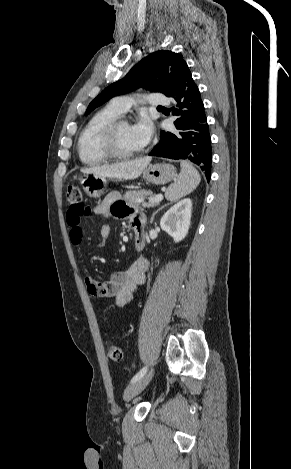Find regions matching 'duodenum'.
Listing matches in <instances>:
<instances>
[{
  "label": "duodenum",
  "mask_w": 291,
  "mask_h": 469,
  "mask_svg": "<svg viewBox=\"0 0 291 469\" xmlns=\"http://www.w3.org/2000/svg\"><path fill=\"white\" fill-rule=\"evenodd\" d=\"M134 241L137 250H142L145 245V232L141 227L134 228Z\"/></svg>",
  "instance_id": "1"
}]
</instances>
